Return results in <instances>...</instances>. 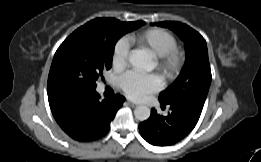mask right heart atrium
<instances>
[{"label": "right heart atrium", "instance_id": "obj_1", "mask_svg": "<svg viewBox=\"0 0 261 162\" xmlns=\"http://www.w3.org/2000/svg\"><path fill=\"white\" fill-rule=\"evenodd\" d=\"M127 59L128 44L126 40H120L114 48L112 55V64L116 69L121 70L127 65Z\"/></svg>", "mask_w": 261, "mask_h": 162}]
</instances>
